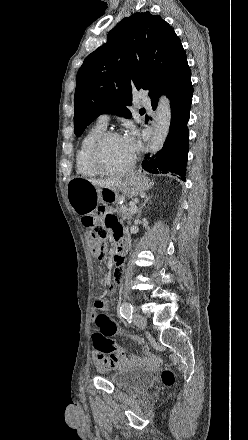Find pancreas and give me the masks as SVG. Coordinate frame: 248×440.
I'll use <instances>...</instances> for the list:
<instances>
[{
    "mask_svg": "<svg viewBox=\"0 0 248 440\" xmlns=\"http://www.w3.org/2000/svg\"><path fill=\"white\" fill-rule=\"evenodd\" d=\"M118 213L122 216L123 220H127L131 223L134 213H131L128 208H118Z\"/></svg>",
    "mask_w": 248,
    "mask_h": 440,
    "instance_id": "cf45deb5",
    "label": "pancreas"
}]
</instances>
